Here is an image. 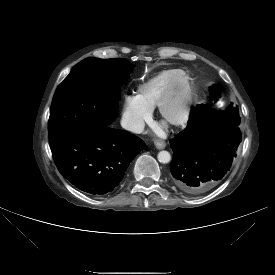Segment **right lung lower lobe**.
I'll return each mask as SVG.
<instances>
[{
    "label": "right lung lower lobe",
    "instance_id": "98d812e1",
    "mask_svg": "<svg viewBox=\"0 0 275 275\" xmlns=\"http://www.w3.org/2000/svg\"><path fill=\"white\" fill-rule=\"evenodd\" d=\"M125 82L115 87L120 95ZM50 145L59 172L75 187L92 195L111 192L146 146L137 136L110 125L62 131L50 138Z\"/></svg>",
    "mask_w": 275,
    "mask_h": 275
}]
</instances>
